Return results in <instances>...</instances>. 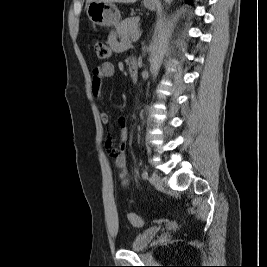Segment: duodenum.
Segmentation results:
<instances>
[{"label": "duodenum", "instance_id": "duodenum-1", "mask_svg": "<svg viewBox=\"0 0 267 267\" xmlns=\"http://www.w3.org/2000/svg\"><path fill=\"white\" fill-rule=\"evenodd\" d=\"M129 75L130 78L135 81L138 78V72H139V67H138V63L136 60H132L129 64Z\"/></svg>", "mask_w": 267, "mask_h": 267}]
</instances>
